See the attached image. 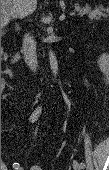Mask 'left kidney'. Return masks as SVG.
<instances>
[{
  "label": "left kidney",
  "mask_w": 109,
  "mask_h": 170,
  "mask_svg": "<svg viewBox=\"0 0 109 170\" xmlns=\"http://www.w3.org/2000/svg\"><path fill=\"white\" fill-rule=\"evenodd\" d=\"M98 65L102 72H107L109 68V56L107 53H103L98 59Z\"/></svg>",
  "instance_id": "obj_1"
}]
</instances>
